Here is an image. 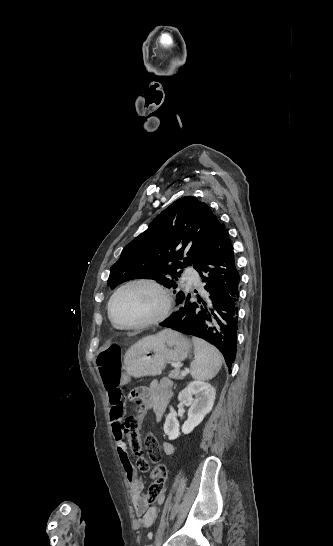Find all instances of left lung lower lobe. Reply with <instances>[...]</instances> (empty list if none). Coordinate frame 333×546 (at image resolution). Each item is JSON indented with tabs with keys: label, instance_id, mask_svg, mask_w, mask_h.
<instances>
[{
	"label": "left lung lower lobe",
	"instance_id": "obj_1",
	"mask_svg": "<svg viewBox=\"0 0 333 546\" xmlns=\"http://www.w3.org/2000/svg\"><path fill=\"white\" fill-rule=\"evenodd\" d=\"M194 268L205 283L206 301L189 302L190 294L178 293L176 305L182 306L160 325L209 341L223 354L231 371L237 348L240 276L228 232L219 221L207 251Z\"/></svg>",
	"mask_w": 333,
	"mask_h": 546
}]
</instances>
